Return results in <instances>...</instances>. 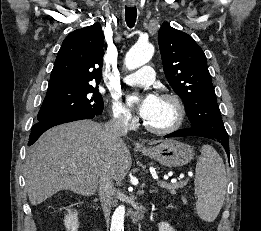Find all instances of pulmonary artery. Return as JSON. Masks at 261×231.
I'll list each match as a JSON object with an SVG mask.
<instances>
[{
    "label": "pulmonary artery",
    "instance_id": "1",
    "mask_svg": "<svg viewBox=\"0 0 261 231\" xmlns=\"http://www.w3.org/2000/svg\"><path fill=\"white\" fill-rule=\"evenodd\" d=\"M155 71L151 66L140 67L137 71L127 75L125 82L139 86L149 85L154 81Z\"/></svg>",
    "mask_w": 261,
    "mask_h": 231
}]
</instances>
